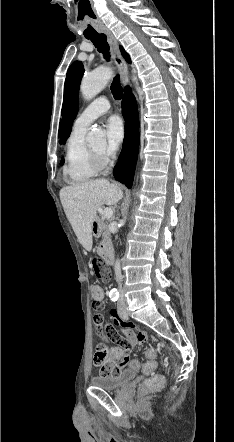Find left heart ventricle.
I'll return each instance as SVG.
<instances>
[{
  "label": "left heart ventricle",
  "instance_id": "left-heart-ventricle-1",
  "mask_svg": "<svg viewBox=\"0 0 234 442\" xmlns=\"http://www.w3.org/2000/svg\"><path fill=\"white\" fill-rule=\"evenodd\" d=\"M92 148L99 153H104L105 144L103 142H101V143L94 145Z\"/></svg>",
  "mask_w": 234,
  "mask_h": 442
}]
</instances>
